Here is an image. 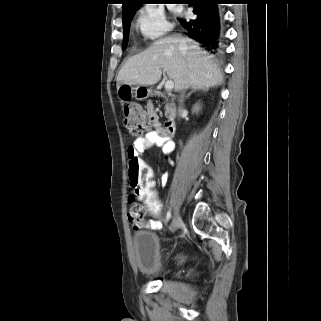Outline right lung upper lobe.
I'll use <instances>...</instances> for the list:
<instances>
[{
    "mask_svg": "<svg viewBox=\"0 0 321 321\" xmlns=\"http://www.w3.org/2000/svg\"><path fill=\"white\" fill-rule=\"evenodd\" d=\"M152 0H123L122 15L136 11L141 4Z\"/></svg>",
    "mask_w": 321,
    "mask_h": 321,
    "instance_id": "obj_1",
    "label": "right lung upper lobe"
}]
</instances>
